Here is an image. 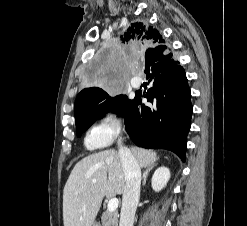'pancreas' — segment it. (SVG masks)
Returning a JSON list of instances; mask_svg holds the SVG:
<instances>
[{
    "instance_id": "obj_1",
    "label": "pancreas",
    "mask_w": 247,
    "mask_h": 226,
    "mask_svg": "<svg viewBox=\"0 0 247 226\" xmlns=\"http://www.w3.org/2000/svg\"><path fill=\"white\" fill-rule=\"evenodd\" d=\"M118 213L106 211L102 214V226H118Z\"/></svg>"
}]
</instances>
